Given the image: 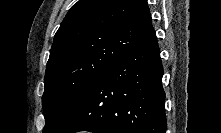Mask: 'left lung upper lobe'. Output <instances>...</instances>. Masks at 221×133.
Wrapping results in <instances>:
<instances>
[{
	"label": "left lung upper lobe",
	"mask_w": 221,
	"mask_h": 133,
	"mask_svg": "<svg viewBox=\"0 0 221 133\" xmlns=\"http://www.w3.org/2000/svg\"><path fill=\"white\" fill-rule=\"evenodd\" d=\"M153 29L146 0H79L55 34L47 62L43 133H56L97 77Z\"/></svg>",
	"instance_id": "left-lung-upper-lobe-1"
}]
</instances>
